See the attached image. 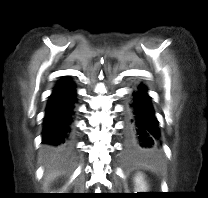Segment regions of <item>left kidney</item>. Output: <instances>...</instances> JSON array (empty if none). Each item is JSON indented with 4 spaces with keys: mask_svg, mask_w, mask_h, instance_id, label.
<instances>
[{
    "mask_svg": "<svg viewBox=\"0 0 208 198\" xmlns=\"http://www.w3.org/2000/svg\"><path fill=\"white\" fill-rule=\"evenodd\" d=\"M135 182H136V193L137 192H146V183L144 182L143 176L141 174H139L136 178H135Z\"/></svg>",
    "mask_w": 208,
    "mask_h": 198,
    "instance_id": "5707ae66",
    "label": "left kidney"
}]
</instances>
